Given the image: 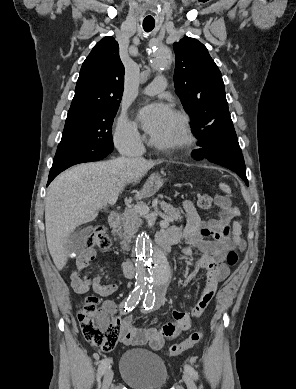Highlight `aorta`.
Returning a JSON list of instances; mask_svg holds the SVG:
<instances>
[{
  "instance_id": "aorta-1",
  "label": "aorta",
  "mask_w": 296,
  "mask_h": 389,
  "mask_svg": "<svg viewBox=\"0 0 296 389\" xmlns=\"http://www.w3.org/2000/svg\"><path fill=\"white\" fill-rule=\"evenodd\" d=\"M173 58L172 49L156 45L151 52V66L157 71H162ZM133 256L137 265V286L147 289L148 298H152L160 289L165 288L171 279L168 259L147 235L137 238L133 246Z\"/></svg>"
}]
</instances>
